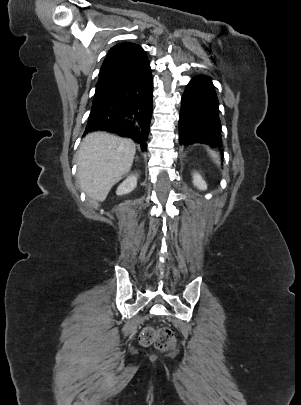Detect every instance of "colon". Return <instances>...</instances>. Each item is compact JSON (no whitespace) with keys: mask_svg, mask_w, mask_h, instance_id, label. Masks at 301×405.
Segmentation results:
<instances>
[{"mask_svg":"<svg viewBox=\"0 0 301 405\" xmlns=\"http://www.w3.org/2000/svg\"><path fill=\"white\" fill-rule=\"evenodd\" d=\"M139 343L142 346L153 345L159 351H166L174 347L176 338L173 331L168 327L158 329L146 327L139 335Z\"/></svg>","mask_w":301,"mask_h":405,"instance_id":"colon-1","label":"colon"}]
</instances>
